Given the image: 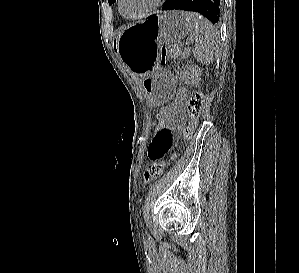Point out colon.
Segmentation results:
<instances>
[{"mask_svg": "<svg viewBox=\"0 0 299 273\" xmlns=\"http://www.w3.org/2000/svg\"><path fill=\"white\" fill-rule=\"evenodd\" d=\"M177 53L178 47L176 45H163L161 47V62L165 63L167 58L175 56ZM184 97L185 90L182 88L170 103L162 107L156 116L157 128L168 127L183 112ZM204 102L205 95L202 91H197L189 97L186 105V111L190 118V122L183 130L184 138L189 139L193 135L197 122L200 118ZM174 158L175 155H172L166 160L152 162L144 172V182L149 183L156 179L163 172L167 164Z\"/></svg>", "mask_w": 299, "mask_h": 273, "instance_id": "colon-1", "label": "colon"}]
</instances>
